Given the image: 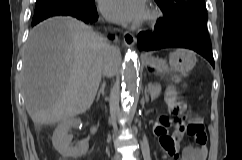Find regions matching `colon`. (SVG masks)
I'll return each instance as SVG.
<instances>
[{
	"instance_id": "1",
	"label": "colon",
	"mask_w": 242,
	"mask_h": 160,
	"mask_svg": "<svg viewBox=\"0 0 242 160\" xmlns=\"http://www.w3.org/2000/svg\"><path fill=\"white\" fill-rule=\"evenodd\" d=\"M167 102L170 111V117L166 115H162L155 127V131L157 133L164 132L166 127L171 123L172 119L176 120L177 118L182 117L186 112V107L180 102L177 92L175 89L170 88L167 92ZM195 132H199L200 140L203 141L206 139V134L204 132V128L201 125H198L195 128H192L189 131V134H193Z\"/></svg>"
}]
</instances>
